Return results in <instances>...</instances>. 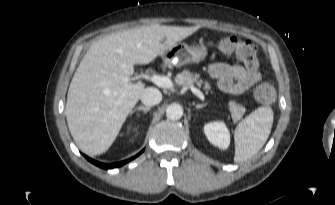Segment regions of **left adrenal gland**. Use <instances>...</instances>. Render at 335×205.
I'll return each instance as SVG.
<instances>
[{
  "label": "left adrenal gland",
  "instance_id": "a2214340",
  "mask_svg": "<svg viewBox=\"0 0 335 205\" xmlns=\"http://www.w3.org/2000/svg\"><path fill=\"white\" fill-rule=\"evenodd\" d=\"M207 105V103H203V104H196V109H200L203 108Z\"/></svg>",
  "mask_w": 335,
  "mask_h": 205
}]
</instances>
